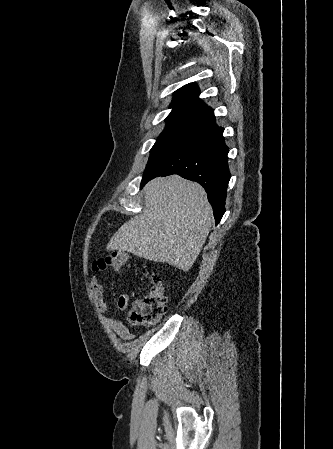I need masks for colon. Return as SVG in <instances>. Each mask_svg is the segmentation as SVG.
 Listing matches in <instances>:
<instances>
[{"label": "colon", "mask_w": 333, "mask_h": 449, "mask_svg": "<svg viewBox=\"0 0 333 449\" xmlns=\"http://www.w3.org/2000/svg\"><path fill=\"white\" fill-rule=\"evenodd\" d=\"M129 256L124 252H112L93 262V271L99 272L112 268L119 270L128 262ZM153 285L149 292L137 300L129 312L128 319L131 324L138 326H152L163 316L166 308L167 297L161 284L159 275H154Z\"/></svg>", "instance_id": "5ec220e1"}]
</instances>
